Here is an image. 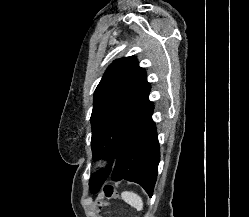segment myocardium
<instances>
[{
	"instance_id": "myocardium-1",
	"label": "myocardium",
	"mask_w": 249,
	"mask_h": 217,
	"mask_svg": "<svg viewBox=\"0 0 249 217\" xmlns=\"http://www.w3.org/2000/svg\"><path fill=\"white\" fill-rule=\"evenodd\" d=\"M111 162V159L109 156H102L97 160V169L98 170H104L106 169Z\"/></svg>"
}]
</instances>
